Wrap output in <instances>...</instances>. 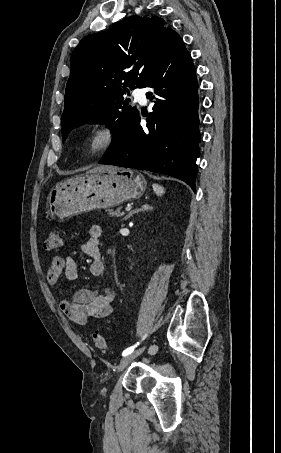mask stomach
<instances>
[{
    "instance_id": "0dacf381",
    "label": "stomach",
    "mask_w": 281,
    "mask_h": 453,
    "mask_svg": "<svg viewBox=\"0 0 281 453\" xmlns=\"http://www.w3.org/2000/svg\"><path fill=\"white\" fill-rule=\"evenodd\" d=\"M146 180L137 170L110 166L100 172L74 176L65 182H58L47 198L52 218H69L95 208L116 206L127 200L142 196Z\"/></svg>"
}]
</instances>
